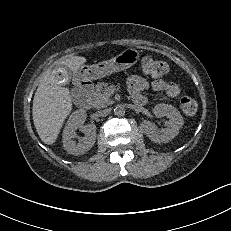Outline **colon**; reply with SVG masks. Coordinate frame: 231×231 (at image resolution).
Returning a JSON list of instances; mask_svg holds the SVG:
<instances>
[{
	"instance_id": "obj_1",
	"label": "colon",
	"mask_w": 231,
	"mask_h": 231,
	"mask_svg": "<svg viewBox=\"0 0 231 231\" xmlns=\"http://www.w3.org/2000/svg\"><path fill=\"white\" fill-rule=\"evenodd\" d=\"M141 67L143 73L151 78H160L168 72V66L165 62L151 56L142 59ZM180 106L186 115H194L197 111V102L189 96L181 98Z\"/></svg>"
}]
</instances>
